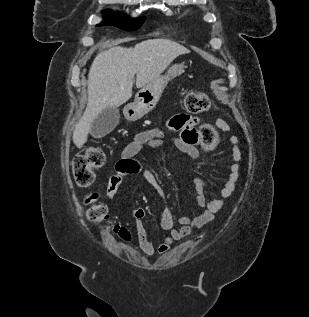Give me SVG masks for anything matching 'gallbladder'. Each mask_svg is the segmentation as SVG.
<instances>
[{
    "instance_id": "obj_1",
    "label": "gallbladder",
    "mask_w": 309,
    "mask_h": 317,
    "mask_svg": "<svg viewBox=\"0 0 309 317\" xmlns=\"http://www.w3.org/2000/svg\"><path fill=\"white\" fill-rule=\"evenodd\" d=\"M120 113L118 108L104 109L92 123L90 134L93 138H102L109 134L118 124Z\"/></svg>"
}]
</instances>
